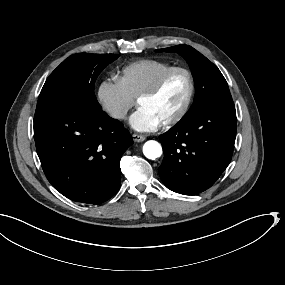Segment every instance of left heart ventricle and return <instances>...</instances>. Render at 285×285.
I'll return each instance as SVG.
<instances>
[{
    "label": "left heart ventricle",
    "mask_w": 285,
    "mask_h": 285,
    "mask_svg": "<svg viewBox=\"0 0 285 285\" xmlns=\"http://www.w3.org/2000/svg\"><path fill=\"white\" fill-rule=\"evenodd\" d=\"M187 90L186 80L182 75L174 76L165 87L144 104L160 121L175 113L183 103Z\"/></svg>",
    "instance_id": "left-heart-ventricle-1"
}]
</instances>
